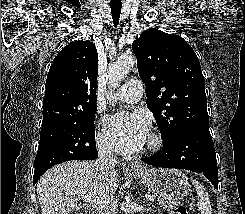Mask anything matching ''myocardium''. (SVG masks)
<instances>
[{"instance_id": "myocardium-1", "label": "myocardium", "mask_w": 245, "mask_h": 214, "mask_svg": "<svg viewBox=\"0 0 245 214\" xmlns=\"http://www.w3.org/2000/svg\"><path fill=\"white\" fill-rule=\"evenodd\" d=\"M162 138L159 134L152 133L148 138L147 145L143 148V153H152L162 146Z\"/></svg>"}]
</instances>
